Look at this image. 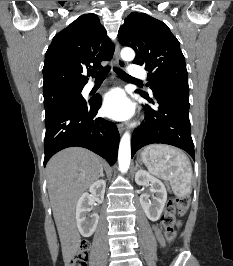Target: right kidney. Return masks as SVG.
Returning <instances> with one entry per match:
<instances>
[{
    "label": "right kidney",
    "instance_id": "1",
    "mask_svg": "<svg viewBox=\"0 0 233 266\" xmlns=\"http://www.w3.org/2000/svg\"><path fill=\"white\" fill-rule=\"evenodd\" d=\"M106 183L103 180L94 182L90 188L89 193H83L76 205V222L80 234L83 237H90L98 224L99 215L93 213L88 215L90 206L94 201L102 203L105 194Z\"/></svg>",
    "mask_w": 233,
    "mask_h": 266
}]
</instances>
